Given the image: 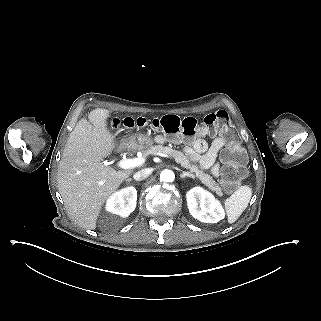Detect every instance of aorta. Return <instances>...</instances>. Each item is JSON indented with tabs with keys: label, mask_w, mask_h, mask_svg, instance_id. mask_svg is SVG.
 Returning <instances> with one entry per match:
<instances>
[{
	"label": "aorta",
	"mask_w": 321,
	"mask_h": 321,
	"mask_svg": "<svg viewBox=\"0 0 321 321\" xmlns=\"http://www.w3.org/2000/svg\"><path fill=\"white\" fill-rule=\"evenodd\" d=\"M175 178L174 172L171 170H163L160 174V179L163 182H173Z\"/></svg>",
	"instance_id": "obj_1"
}]
</instances>
